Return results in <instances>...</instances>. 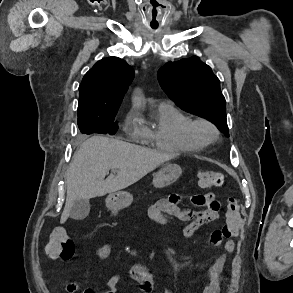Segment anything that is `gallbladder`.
<instances>
[{
    "label": "gallbladder",
    "instance_id": "bac80fb5",
    "mask_svg": "<svg viewBox=\"0 0 293 293\" xmlns=\"http://www.w3.org/2000/svg\"><path fill=\"white\" fill-rule=\"evenodd\" d=\"M90 212V203L89 200L80 199L76 200L70 211L71 218L75 220H83L85 219Z\"/></svg>",
    "mask_w": 293,
    "mask_h": 293
}]
</instances>
